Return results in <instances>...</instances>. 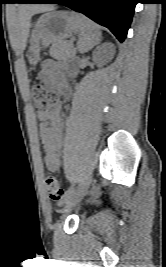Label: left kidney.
Listing matches in <instances>:
<instances>
[{"label":"left kidney","mask_w":166,"mask_h":267,"mask_svg":"<svg viewBox=\"0 0 166 267\" xmlns=\"http://www.w3.org/2000/svg\"><path fill=\"white\" fill-rule=\"evenodd\" d=\"M106 45H109L112 47L110 43H107ZM93 60L98 66L105 65L106 63L109 62V59H99L96 55L93 57Z\"/></svg>","instance_id":"obj_1"}]
</instances>
